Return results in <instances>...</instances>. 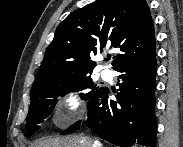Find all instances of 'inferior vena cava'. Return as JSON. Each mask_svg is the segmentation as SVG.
<instances>
[{
    "label": "inferior vena cava",
    "instance_id": "602c4592",
    "mask_svg": "<svg viewBox=\"0 0 183 147\" xmlns=\"http://www.w3.org/2000/svg\"><path fill=\"white\" fill-rule=\"evenodd\" d=\"M93 147H101V144L97 141H94Z\"/></svg>",
    "mask_w": 183,
    "mask_h": 147
}]
</instances>
